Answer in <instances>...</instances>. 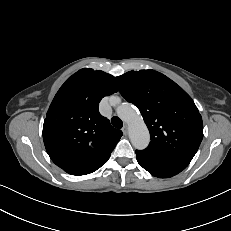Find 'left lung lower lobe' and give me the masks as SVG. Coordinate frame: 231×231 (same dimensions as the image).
I'll return each instance as SVG.
<instances>
[{
    "label": "left lung lower lobe",
    "mask_w": 231,
    "mask_h": 231,
    "mask_svg": "<svg viewBox=\"0 0 231 231\" xmlns=\"http://www.w3.org/2000/svg\"><path fill=\"white\" fill-rule=\"evenodd\" d=\"M137 161L145 170L151 175L159 178H169L184 170L186 167L168 163H162L152 160L144 155L140 154L136 150Z\"/></svg>",
    "instance_id": "left-lung-lower-lobe-1"
}]
</instances>
